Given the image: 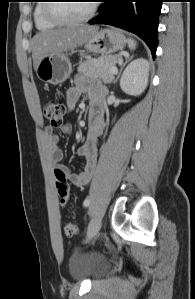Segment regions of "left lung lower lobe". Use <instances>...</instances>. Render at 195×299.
<instances>
[{"label":"left lung lower lobe","mask_w":195,"mask_h":299,"mask_svg":"<svg viewBox=\"0 0 195 299\" xmlns=\"http://www.w3.org/2000/svg\"><path fill=\"white\" fill-rule=\"evenodd\" d=\"M99 15L90 24H108L141 37L155 55L157 31L163 0H103Z\"/></svg>","instance_id":"left-lung-lower-lobe-1"}]
</instances>
